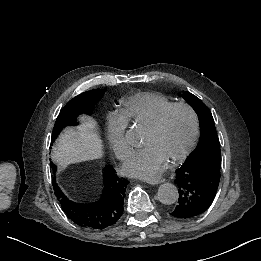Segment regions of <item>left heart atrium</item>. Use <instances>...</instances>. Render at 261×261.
<instances>
[{
  "label": "left heart atrium",
  "instance_id": "1",
  "mask_svg": "<svg viewBox=\"0 0 261 261\" xmlns=\"http://www.w3.org/2000/svg\"><path fill=\"white\" fill-rule=\"evenodd\" d=\"M165 159L152 144L131 148L123 160V170L134 177L150 179L164 170Z\"/></svg>",
  "mask_w": 261,
  "mask_h": 261
}]
</instances>
